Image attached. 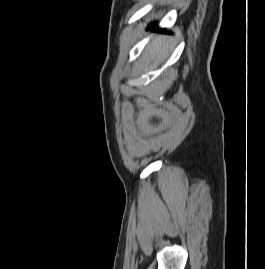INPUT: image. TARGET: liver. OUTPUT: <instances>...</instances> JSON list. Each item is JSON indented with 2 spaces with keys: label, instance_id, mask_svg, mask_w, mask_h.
<instances>
[{
  "label": "liver",
  "instance_id": "obj_1",
  "mask_svg": "<svg viewBox=\"0 0 265 269\" xmlns=\"http://www.w3.org/2000/svg\"><path fill=\"white\" fill-rule=\"evenodd\" d=\"M162 43H163V39L161 37H158L157 39L154 40V42H153V53L157 52L158 55H161V52L163 50H166V47H167L166 44L164 43L162 45Z\"/></svg>",
  "mask_w": 265,
  "mask_h": 269
}]
</instances>
